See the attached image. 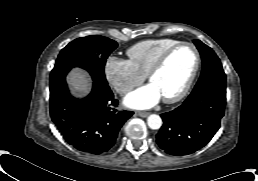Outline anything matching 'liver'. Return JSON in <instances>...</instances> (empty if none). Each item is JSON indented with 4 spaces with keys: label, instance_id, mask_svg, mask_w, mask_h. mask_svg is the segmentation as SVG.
Listing matches in <instances>:
<instances>
[{
    "label": "liver",
    "instance_id": "6515ba94",
    "mask_svg": "<svg viewBox=\"0 0 258 181\" xmlns=\"http://www.w3.org/2000/svg\"><path fill=\"white\" fill-rule=\"evenodd\" d=\"M67 82L74 95L83 97L87 95L91 89V81L86 73L81 70H72L68 77Z\"/></svg>",
    "mask_w": 258,
    "mask_h": 181
}]
</instances>
